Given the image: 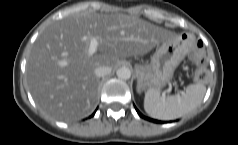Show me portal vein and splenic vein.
I'll return each instance as SVG.
<instances>
[{"instance_id": "portal-vein-and-splenic-vein-1", "label": "portal vein and splenic vein", "mask_w": 238, "mask_h": 145, "mask_svg": "<svg viewBox=\"0 0 238 145\" xmlns=\"http://www.w3.org/2000/svg\"><path fill=\"white\" fill-rule=\"evenodd\" d=\"M98 47V41L96 38L92 37L90 38V45H89V49H88V54L89 55H93ZM167 93L169 92V90L166 91Z\"/></svg>"}]
</instances>
